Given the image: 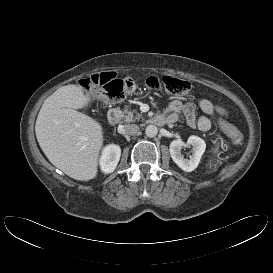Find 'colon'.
Here are the masks:
<instances>
[{"instance_id":"1","label":"colon","mask_w":273,"mask_h":273,"mask_svg":"<svg viewBox=\"0 0 273 273\" xmlns=\"http://www.w3.org/2000/svg\"><path fill=\"white\" fill-rule=\"evenodd\" d=\"M83 89L89 90L93 86L103 88L102 96L109 101H117L123 97L124 81L119 79L113 72H101L93 74L80 81ZM147 86L152 91H158L162 86L172 95L181 96L187 94L191 89L190 82L165 76L162 79L151 77L147 80ZM218 125L235 145L243 143L242 133L231 123L225 120H219Z\"/></svg>"}]
</instances>
